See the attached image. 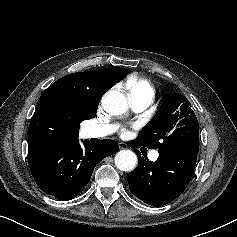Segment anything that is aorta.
<instances>
[{
	"mask_svg": "<svg viewBox=\"0 0 237 237\" xmlns=\"http://www.w3.org/2000/svg\"><path fill=\"white\" fill-rule=\"evenodd\" d=\"M102 106L110 115H121L128 110L126 97L118 91H109L102 98ZM115 165L121 171L130 172L137 165V156L131 150H121L115 155Z\"/></svg>",
	"mask_w": 237,
	"mask_h": 237,
	"instance_id": "aorta-1",
	"label": "aorta"
}]
</instances>
